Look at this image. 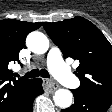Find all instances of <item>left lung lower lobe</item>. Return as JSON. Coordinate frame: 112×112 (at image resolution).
I'll return each instance as SVG.
<instances>
[{
	"instance_id": "left-lung-lower-lobe-1",
	"label": "left lung lower lobe",
	"mask_w": 112,
	"mask_h": 112,
	"mask_svg": "<svg viewBox=\"0 0 112 112\" xmlns=\"http://www.w3.org/2000/svg\"><path fill=\"white\" fill-rule=\"evenodd\" d=\"M74 95V104L61 112H106L112 104V98L82 94L71 90Z\"/></svg>"
}]
</instances>
